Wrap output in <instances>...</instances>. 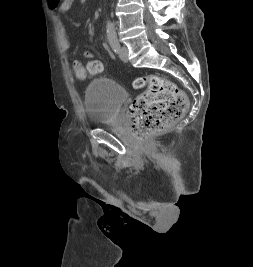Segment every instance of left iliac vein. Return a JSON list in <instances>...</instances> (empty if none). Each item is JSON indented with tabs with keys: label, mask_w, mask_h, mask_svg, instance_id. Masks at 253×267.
I'll return each instance as SVG.
<instances>
[{
	"label": "left iliac vein",
	"mask_w": 253,
	"mask_h": 267,
	"mask_svg": "<svg viewBox=\"0 0 253 267\" xmlns=\"http://www.w3.org/2000/svg\"><path fill=\"white\" fill-rule=\"evenodd\" d=\"M119 57L124 61L127 62L128 61V49L126 46H123L120 48L119 50Z\"/></svg>",
	"instance_id": "obj_1"
}]
</instances>
